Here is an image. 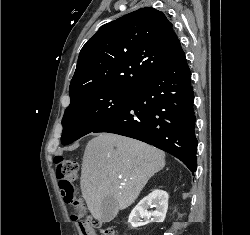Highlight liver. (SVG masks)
Masks as SVG:
<instances>
[{
    "label": "liver",
    "instance_id": "liver-1",
    "mask_svg": "<svg viewBox=\"0 0 250 235\" xmlns=\"http://www.w3.org/2000/svg\"><path fill=\"white\" fill-rule=\"evenodd\" d=\"M165 166V153L144 142L100 133L86 146L80 185L92 216L101 221V204L113 197L118 210L130 206L148 180Z\"/></svg>",
    "mask_w": 250,
    "mask_h": 235
}]
</instances>
